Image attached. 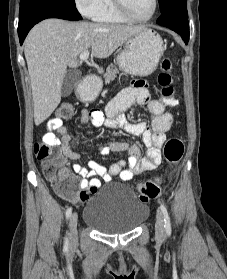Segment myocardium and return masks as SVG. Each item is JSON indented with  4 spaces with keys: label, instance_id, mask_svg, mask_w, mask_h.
Instances as JSON below:
<instances>
[{
    "label": "myocardium",
    "instance_id": "obj_1",
    "mask_svg": "<svg viewBox=\"0 0 227 279\" xmlns=\"http://www.w3.org/2000/svg\"><path fill=\"white\" fill-rule=\"evenodd\" d=\"M116 11L124 18L133 22H146L154 17L158 9V0H152V10L146 17L138 18L132 15L124 0H112Z\"/></svg>",
    "mask_w": 227,
    "mask_h": 279
}]
</instances>
